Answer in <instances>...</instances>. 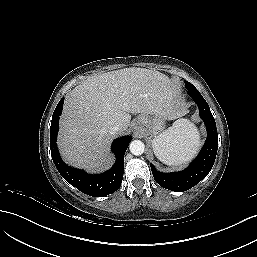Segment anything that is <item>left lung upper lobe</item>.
<instances>
[{
	"instance_id": "left-lung-upper-lobe-1",
	"label": "left lung upper lobe",
	"mask_w": 257,
	"mask_h": 257,
	"mask_svg": "<svg viewBox=\"0 0 257 257\" xmlns=\"http://www.w3.org/2000/svg\"><path fill=\"white\" fill-rule=\"evenodd\" d=\"M186 89L188 90V94L190 96L196 95V96H201L199 91L189 82L185 81Z\"/></svg>"
}]
</instances>
